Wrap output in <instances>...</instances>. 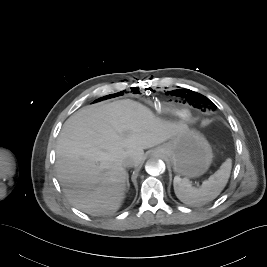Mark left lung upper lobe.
I'll list each match as a JSON object with an SVG mask.
<instances>
[{"mask_svg":"<svg viewBox=\"0 0 267 267\" xmlns=\"http://www.w3.org/2000/svg\"><path fill=\"white\" fill-rule=\"evenodd\" d=\"M190 92V91H189ZM192 95L185 97L186 95L183 92L178 91L177 95L187 98L190 103H193L195 107L199 108L203 106L204 108L214 109L216 106L205 96L198 94L196 92H190Z\"/></svg>","mask_w":267,"mask_h":267,"instance_id":"left-lung-upper-lobe-1","label":"left lung upper lobe"}]
</instances>
